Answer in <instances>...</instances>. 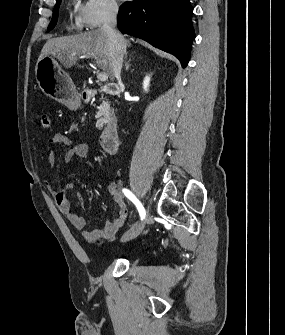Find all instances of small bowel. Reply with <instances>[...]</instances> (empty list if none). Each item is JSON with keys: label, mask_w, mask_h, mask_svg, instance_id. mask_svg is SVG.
<instances>
[{"label": "small bowel", "mask_w": 285, "mask_h": 335, "mask_svg": "<svg viewBox=\"0 0 285 335\" xmlns=\"http://www.w3.org/2000/svg\"><path fill=\"white\" fill-rule=\"evenodd\" d=\"M49 142L52 145L66 146V150L63 156L65 162H70L76 157L82 159L88 157L89 147L84 143L73 140L70 136L64 133L58 132L51 135L49 137ZM55 159V151L50 150L47 157V163L49 165H53ZM84 166L87 169H91V165L88 162L85 163ZM71 187V184H66L60 190H55L50 184L47 183V189L58 209L76 230L82 232V236L87 242H92L93 240L100 238H112L116 234V232L124 226L129 213L128 206L125 199L117 191L116 186L113 183H109L108 191L119 210V214L113 219L106 220L103 225L92 231H88L85 229V218L74 211L69 200L67 199V192L71 189ZM78 196L81 199V195L79 194Z\"/></svg>", "instance_id": "1"}]
</instances>
